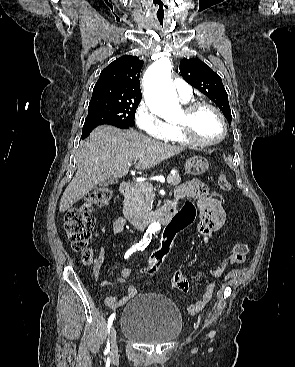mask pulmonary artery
I'll use <instances>...</instances> for the list:
<instances>
[{
  "label": "pulmonary artery",
  "mask_w": 295,
  "mask_h": 367,
  "mask_svg": "<svg viewBox=\"0 0 295 367\" xmlns=\"http://www.w3.org/2000/svg\"><path fill=\"white\" fill-rule=\"evenodd\" d=\"M174 86L176 88L179 98L183 102H188L191 100L193 93L192 88L188 83H186L184 80L180 78H177L174 81Z\"/></svg>",
  "instance_id": "e3ab8cb5"
}]
</instances>
